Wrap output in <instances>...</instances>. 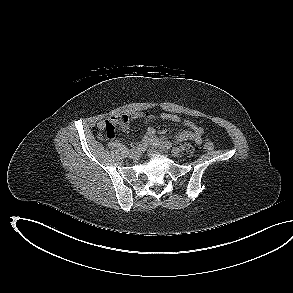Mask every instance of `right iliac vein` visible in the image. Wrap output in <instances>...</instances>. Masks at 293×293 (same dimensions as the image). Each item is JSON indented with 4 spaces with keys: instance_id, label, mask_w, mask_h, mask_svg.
<instances>
[{
    "instance_id": "right-iliac-vein-1",
    "label": "right iliac vein",
    "mask_w": 293,
    "mask_h": 293,
    "mask_svg": "<svg viewBox=\"0 0 293 293\" xmlns=\"http://www.w3.org/2000/svg\"><path fill=\"white\" fill-rule=\"evenodd\" d=\"M141 151L138 149H132L129 151L128 155L132 159H137L140 156Z\"/></svg>"
}]
</instances>
